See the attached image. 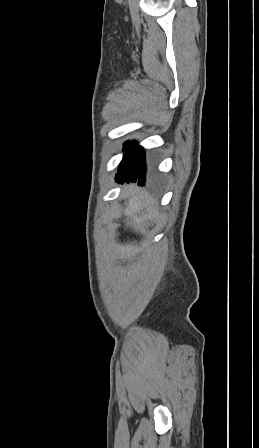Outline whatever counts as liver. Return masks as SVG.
Listing matches in <instances>:
<instances>
[{
    "label": "liver",
    "mask_w": 259,
    "mask_h": 448,
    "mask_svg": "<svg viewBox=\"0 0 259 448\" xmlns=\"http://www.w3.org/2000/svg\"><path fill=\"white\" fill-rule=\"evenodd\" d=\"M124 188L125 194L128 196L126 214L132 216L135 228L136 226H144V222H148L151 218L153 198L147 192H140L136 184H125ZM143 210H146L147 214Z\"/></svg>",
    "instance_id": "6515ba94"
}]
</instances>
